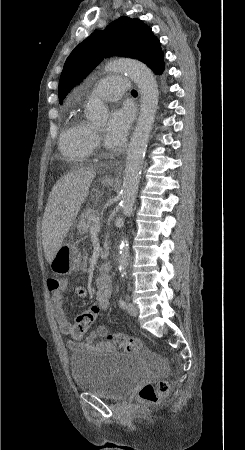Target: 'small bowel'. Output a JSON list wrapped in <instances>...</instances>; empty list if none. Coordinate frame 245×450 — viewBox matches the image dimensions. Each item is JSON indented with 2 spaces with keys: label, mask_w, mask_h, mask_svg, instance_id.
<instances>
[{
  "label": "small bowel",
  "mask_w": 245,
  "mask_h": 450,
  "mask_svg": "<svg viewBox=\"0 0 245 450\" xmlns=\"http://www.w3.org/2000/svg\"><path fill=\"white\" fill-rule=\"evenodd\" d=\"M113 290L112 277L109 274H101L97 281L96 304L102 309L106 310L110 307V298ZM64 294H71L79 298H86L88 296L87 290L80 285L70 286V281L67 279L60 290L52 292L51 309L60 329L68 335L72 330V324L63 307ZM107 334V329L104 327L98 328L95 332L90 333L84 340L74 341L68 340V350L77 354L83 350H91L94 348L109 349L111 343L103 340ZM101 339V340H99Z\"/></svg>",
  "instance_id": "small-bowel-1"
}]
</instances>
